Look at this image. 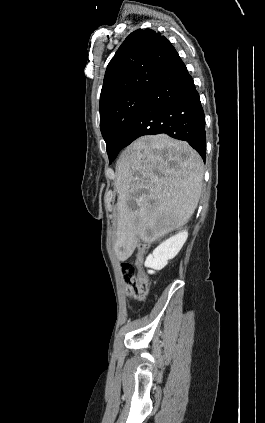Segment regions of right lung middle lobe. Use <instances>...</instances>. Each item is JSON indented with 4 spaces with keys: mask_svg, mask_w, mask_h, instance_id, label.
<instances>
[{
    "mask_svg": "<svg viewBox=\"0 0 265 423\" xmlns=\"http://www.w3.org/2000/svg\"><path fill=\"white\" fill-rule=\"evenodd\" d=\"M150 90H138L113 102L100 113V129L107 144L109 162L118 154V139L122 131L147 98Z\"/></svg>",
    "mask_w": 265,
    "mask_h": 423,
    "instance_id": "1",
    "label": "right lung middle lobe"
}]
</instances>
